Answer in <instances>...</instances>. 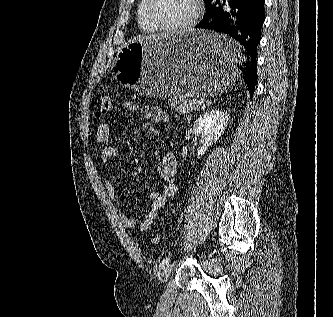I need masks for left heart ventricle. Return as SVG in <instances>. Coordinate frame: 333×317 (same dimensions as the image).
<instances>
[{
    "label": "left heart ventricle",
    "instance_id": "1",
    "mask_svg": "<svg viewBox=\"0 0 333 317\" xmlns=\"http://www.w3.org/2000/svg\"><path fill=\"white\" fill-rule=\"evenodd\" d=\"M151 12L161 23L180 25L186 22L192 12V0H152Z\"/></svg>",
    "mask_w": 333,
    "mask_h": 317
}]
</instances>
